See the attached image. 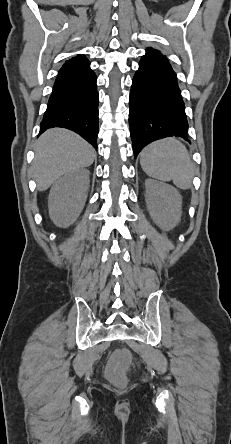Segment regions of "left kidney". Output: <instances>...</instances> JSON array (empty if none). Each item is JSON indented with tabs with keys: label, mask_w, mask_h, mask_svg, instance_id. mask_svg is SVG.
Returning <instances> with one entry per match:
<instances>
[{
	"label": "left kidney",
	"mask_w": 231,
	"mask_h": 444,
	"mask_svg": "<svg viewBox=\"0 0 231 444\" xmlns=\"http://www.w3.org/2000/svg\"><path fill=\"white\" fill-rule=\"evenodd\" d=\"M145 201L153 221L162 229L175 227L182 214V197L169 184L152 179L145 180Z\"/></svg>",
	"instance_id": "obj_1"
}]
</instances>
